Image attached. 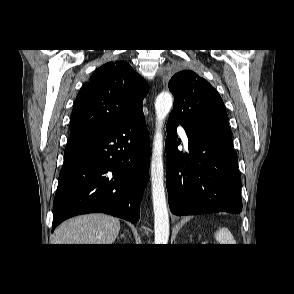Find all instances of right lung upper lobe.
<instances>
[{
    "mask_svg": "<svg viewBox=\"0 0 294 294\" xmlns=\"http://www.w3.org/2000/svg\"><path fill=\"white\" fill-rule=\"evenodd\" d=\"M147 82L124 61L99 67L80 89L73 107L71 138L118 125L142 110Z\"/></svg>",
    "mask_w": 294,
    "mask_h": 294,
    "instance_id": "cb5924a9",
    "label": "right lung upper lobe"
}]
</instances>
